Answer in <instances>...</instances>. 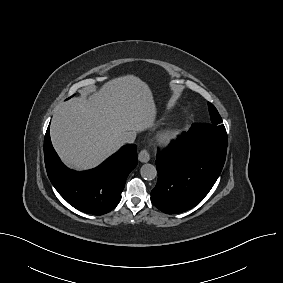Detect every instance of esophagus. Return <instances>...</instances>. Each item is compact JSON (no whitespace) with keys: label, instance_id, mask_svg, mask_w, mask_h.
<instances>
[{"label":"esophagus","instance_id":"34e87169","mask_svg":"<svg viewBox=\"0 0 283 283\" xmlns=\"http://www.w3.org/2000/svg\"><path fill=\"white\" fill-rule=\"evenodd\" d=\"M138 159L142 163H146L150 160V154L146 149H143L138 154Z\"/></svg>","mask_w":283,"mask_h":283}]
</instances>
